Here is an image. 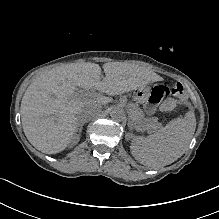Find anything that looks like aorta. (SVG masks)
Listing matches in <instances>:
<instances>
[{
  "mask_svg": "<svg viewBox=\"0 0 219 219\" xmlns=\"http://www.w3.org/2000/svg\"><path fill=\"white\" fill-rule=\"evenodd\" d=\"M109 114L110 117L117 122H121L126 118L124 109L117 105H113L109 108Z\"/></svg>",
  "mask_w": 219,
  "mask_h": 219,
  "instance_id": "1",
  "label": "aorta"
}]
</instances>
